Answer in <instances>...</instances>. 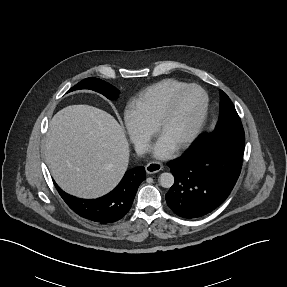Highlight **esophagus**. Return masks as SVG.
I'll use <instances>...</instances> for the list:
<instances>
[{"label": "esophagus", "instance_id": "esophagus-1", "mask_svg": "<svg viewBox=\"0 0 287 287\" xmlns=\"http://www.w3.org/2000/svg\"><path fill=\"white\" fill-rule=\"evenodd\" d=\"M163 166L160 162H150L146 166V172L148 174H154L162 170Z\"/></svg>", "mask_w": 287, "mask_h": 287}]
</instances>
